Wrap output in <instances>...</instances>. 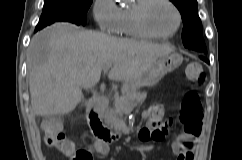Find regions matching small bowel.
Returning <instances> with one entry per match:
<instances>
[{"instance_id": "obj_1", "label": "small bowel", "mask_w": 242, "mask_h": 160, "mask_svg": "<svg viewBox=\"0 0 242 160\" xmlns=\"http://www.w3.org/2000/svg\"><path fill=\"white\" fill-rule=\"evenodd\" d=\"M149 130L153 132L154 130H162L160 118L152 120L146 128L140 130L139 136L142 141H149V138L145 135L144 131ZM201 132V129H200ZM184 133L180 139L174 140L171 143V149L176 155V160H194V153L196 149V139L199 136ZM157 141V140H156ZM69 142V141H68ZM66 151L72 156L75 154V148L71 142H69V147Z\"/></svg>"}]
</instances>
